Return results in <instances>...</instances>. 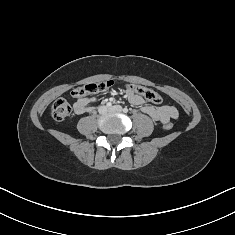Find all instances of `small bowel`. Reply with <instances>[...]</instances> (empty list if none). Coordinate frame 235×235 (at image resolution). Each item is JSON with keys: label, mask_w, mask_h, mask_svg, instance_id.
<instances>
[{"label": "small bowel", "mask_w": 235, "mask_h": 235, "mask_svg": "<svg viewBox=\"0 0 235 235\" xmlns=\"http://www.w3.org/2000/svg\"><path fill=\"white\" fill-rule=\"evenodd\" d=\"M127 100L137 106L142 107V111L150 116L153 120L162 124H166L178 117V110L172 105L152 106L146 104V101L141 96L135 94L130 89L125 92ZM95 101V97H83L76 100L74 103V112L83 114L91 109L90 105Z\"/></svg>", "instance_id": "1"}]
</instances>
